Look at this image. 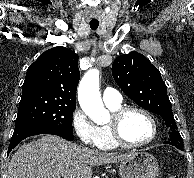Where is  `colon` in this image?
<instances>
[{
  "mask_svg": "<svg viewBox=\"0 0 194 178\" xmlns=\"http://www.w3.org/2000/svg\"><path fill=\"white\" fill-rule=\"evenodd\" d=\"M169 178H179V176L173 174V175H170Z\"/></svg>",
  "mask_w": 194,
  "mask_h": 178,
  "instance_id": "1",
  "label": "colon"
}]
</instances>
